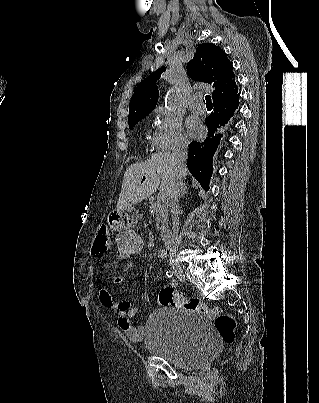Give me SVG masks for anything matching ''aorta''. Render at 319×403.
I'll return each mask as SVG.
<instances>
[{
  "mask_svg": "<svg viewBox=\"0 0 319 403\" xmlns=\"http://www.w3.org/2000/svg\"><path fill=\"white\" fill-rule=\"evenodd\" d=\"M177 105V92L175 89H171L168 91L165 97V108L168 111H173Z\"/></svg>",
  "mask_w": 319,
  "mask_h": 403,
  "instance_id": "762f6f07",
  "label": "aorta"
}]
</instances>
